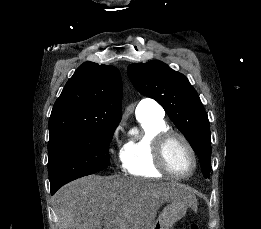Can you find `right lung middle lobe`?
Returning a JSON list of instances; mask_svg holds the SVG:
<instances>
[{"label":"right lung middle lobe","mask_w":261,"mask_h":229,"mask_svg":"<svg viewBox=\"0 0 261 229\" xmlns=\"http://www.w3.org/2000/svg\"><path fill=\"white\" fill-rule=\"evenodd\" d=\"M118 125L95 126L70 139L48 146L51 191L107 168L109 145Z\"/></svg>","instance_id":"obj_1"}]
</instances>
